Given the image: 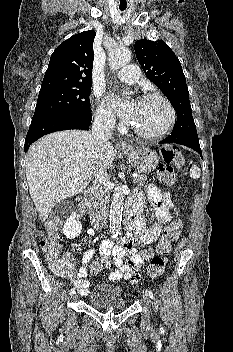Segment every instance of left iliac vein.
<instances>
[{"label": "left iliac vein", "mask_w": 233, "mask_h": 352, "mask_svg": "<svg viewBox=\"0 0 233 352\" xmlns=\"http://www.w3.org/2000/svg\"><path fill=\"white\" fill-rule=\"evenodd\" d=\"M143 301L145 302L146 305H148V306L151 305V299L148 296V294H146V293L143 295Z\"/></svg>", "instance_id": "obj_1"}]
</instances>
